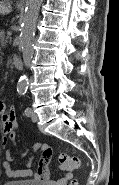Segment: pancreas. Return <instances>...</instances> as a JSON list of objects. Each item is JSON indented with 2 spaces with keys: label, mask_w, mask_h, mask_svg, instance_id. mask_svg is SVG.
<instances>
[{
  "label": "pancreas",
  "mask_w": 119,
  "mask_h": 185,
  "mask_svg": "<svg viewBox=\"0 0 119 185\" xmlns=\"http://www.w3.org/2000/svg\"><path fill=\"white\" fill-rule=\"evenodd\" d=\"M7 43H8V40H7V37L5 36V32L1 31L0 32V45L2 47H5L7 46Z\"/></svg>",
  "instance_id": "cf45deb5"
}]
</instances>
